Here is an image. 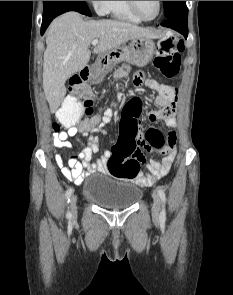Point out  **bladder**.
<instances>
[{"mask_svg":"<svg viewBox=\"0 0 233 295\" xmlns=\"http://www.w3.org/2000/svg\"><path fill=\"white\" fill-rule=\"evenodd\" d=\"M83 195L86 200L103 208L121 210L138 203L143 192L129 181L93 175L84 182Z\"/></svg>","mask_w":233,"mask_h":295,"instance_id":"obj_1","label":"bladder"}]
</instances>
